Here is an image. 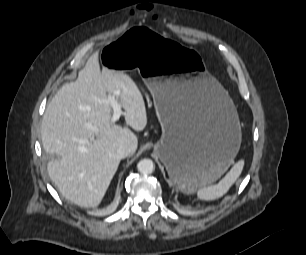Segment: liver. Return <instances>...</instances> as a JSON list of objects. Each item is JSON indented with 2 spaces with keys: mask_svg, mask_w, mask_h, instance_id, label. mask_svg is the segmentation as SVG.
Returning <instances> with one entry per match:
<instances>
[{
  "mask_svg": "<svg viewBox=\"0 0 306 255\" xmlns=\"http://www.w3.org/2000/svg\"><path fill=\"white\" fill-rule=\"evenodd\" d=\"M111 94L123 108L126 123L135 131L144 130L146 107L136 83L122 71H101L97 54L75 82L59 89L43 115V148L55 156L48 174L63 197L81 207L97 206L103 199L120 164L117 149L128 144L134 153L138 146L128 127L111 121Z\"/></svg>",
  "mask_w": 306,
  "mask_h": 255,
  "instance_id": "6515ba94",
  "label": "liver"
}]
</instances>
